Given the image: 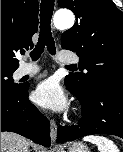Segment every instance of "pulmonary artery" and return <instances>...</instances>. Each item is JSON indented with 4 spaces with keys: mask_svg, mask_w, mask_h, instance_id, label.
<instances>
[{
    "mask_svg": "<svg viewBox=\"0 0 123 152\" xmlns=\"http://www.w3.org/2000/svg\"><path fill=\"white\" fill-rule=\"evenodd\" d=\"M58 61L60 63H76L78 61V58L75 55L69 54V53H59L58 55ZM39 71V68L37 65L33 63H23L17 70V75L19 77L23 76H33L37 74Z\"/></svg>",
    "mask_w": 123,
    "mask_h": 152,
    "instance_id": "1",
    "label": "pulmonary artery"
}]
</instances>
